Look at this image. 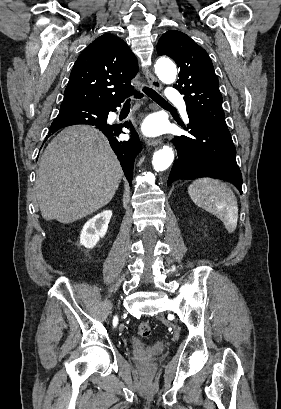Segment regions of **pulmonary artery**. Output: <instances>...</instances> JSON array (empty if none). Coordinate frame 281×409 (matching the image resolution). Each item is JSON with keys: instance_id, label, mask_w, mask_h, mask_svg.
I'll use <instances>...</instances> for the list:
<instances>
[{"instance_id": "e3ab8cb5", "label": "pulmonary artery", "mask_w": 281, "mask_h": 409, "mask_svg": "<svg viewBox=\"0 0 281 409\" xmlns=\"http://www.w3.org/2000/svg\"><path fill=\"white\" fill-rule=\"evenodd\" d=\"M167 93L170 96L171 103H180L179 109L184 117H187V108L184 101L183 94H176V88L174 86H169L167 88Z\"/></svg>"}]
</instances>
